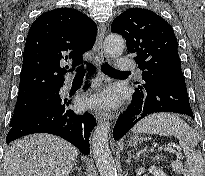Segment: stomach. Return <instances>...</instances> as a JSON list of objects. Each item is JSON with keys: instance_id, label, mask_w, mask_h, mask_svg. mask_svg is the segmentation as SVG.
Instances as JSON below:
<instances>
[{"instance_id": "stomach-1", "label": "stomach", "mask_w": 205, "mask_h": 176, "mask_svg": "<svg viewBox=\"0 0 205 176\" xmlns=\"http://www.w3.org/2000/svg\"><path fill=\"white\" fill-rule=\"evenodd\" d=\"M144 140H146V138H143V137H140V138H139L138 136L134 135V136H132V137L130 138V140L128 141V143H129L130 146H135V145H137L139 142L144 141Z\"/></svg>"}]
</instances>
